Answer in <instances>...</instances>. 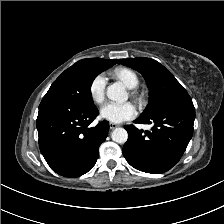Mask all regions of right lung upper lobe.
<instances>
[{
  "instance_id": "obj_1",
  "label": "right lung upper lobe",
  "mask_w": 224,
  "mask_h": 224,
  "mask_svg": "<svg viewBox=\"0 0 224 224\" xmlns=\"http://www.w3.org/2000/svg\"><path fill=\"white\" fill-rule=\"evenodd\" d=\"M94 61H97L101 64L107 65V66H113L117 63L118 60H107V59H101V58H91Z\"/></svg>"
}]
</instances>
